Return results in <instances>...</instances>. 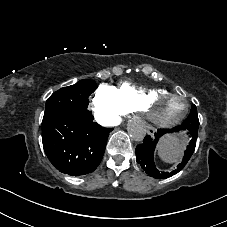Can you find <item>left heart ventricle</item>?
Wrapping results in <instances>:
<instances>
[{"instance_id":"obj_1","label":"left heart ventricle","mask_w":227,"mask_h":227,"mask_svg":"<svg viewBox=\"0 0 227 227\" xmlns=\"http://www.w3.org/2000/svg\"><path fill=\"white\" fill-rule=\"evenodd\" d=\"M183 105L180 98H165L153 108V113L162 120H169L181 113Z\"/></svg>"}]
</instances>
